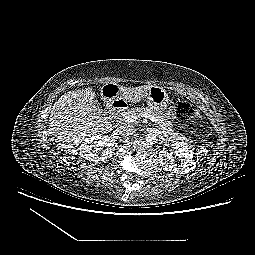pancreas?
<instances>
[{
	"instance_id": "obj_1",
	"label": "pancreas",
	"mask_w": 255,
	"mask_h": 255,
	"mask_svg": "<svg viewBox=\"0 0 255 255\" xmlns=\"http://www.w3.org/2000/svg\"><path fill=\"white\" fill-rule=\"evenodd\" d=\"M145 113L157 119L158 127L162 131L163 136L168 141L172 143H177L178 141H188V139L184 135L179 134L173 130L172 124L168 120H166L163 116L155 113L150 108L139 107L130 109L124 114L123 119H125V117L129 115H143Z\"/></svg>"
}]
</instances>
